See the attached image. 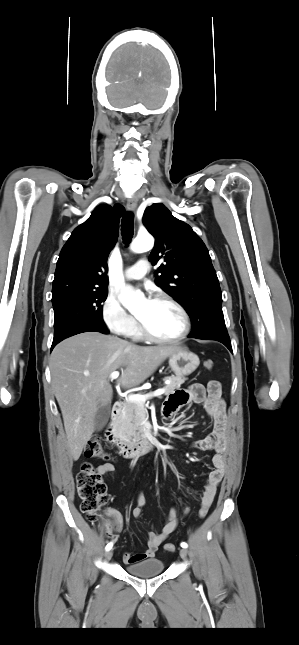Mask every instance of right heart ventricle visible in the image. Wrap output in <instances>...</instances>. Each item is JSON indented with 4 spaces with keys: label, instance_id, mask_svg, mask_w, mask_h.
Returning a JSON list of instances; mask_svg holds the SVG:
<instances>
[{
    "label": "right heart ventricle",
    "instance_id": "right-heart-ventricle-1",
    "mask_svg": "<svg viewBox=\"0 0 299 645\" xmlns=\"http://www.w3.org/2000/svg\"><path fill=\"white\" fill-rule=\"evenodd\" d=\"M130 335L136 339H139L141 337V334L137 328V326L133 329V331L130 333Z\"/></svg>",
    "mask_w": 299,
    "mask_h": 645
}]
</instances>
